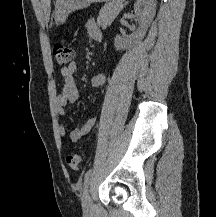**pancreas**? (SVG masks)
I'll return each instance as SVG.
<instances>
[{"label":"pancreas","mask_w":216,"mask_h":217,"mask_svg":"<svg viewBox=\"0 0 216 217\" xmlns=\"http://www.w3.org/2000/svg\"><path fill=\"white\" fill-rule=\"evenodd\" d=\"M123 6L124 0H112V2L105 4L97 17V25L106 29L117 17Z\"/></svg>","instance_id":"1"}]
</instances>
